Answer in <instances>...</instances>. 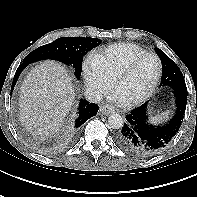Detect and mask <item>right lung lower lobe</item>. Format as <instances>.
<instances>
[{
    "instance_id": "98d812e1",
    "label": "right lung lower lobe",
    "mask_w": 197,
    "mask_h": 197,
    "mask_svg": "<svg viewBox=\"0 0 197 197\" xmlns=\"http://www.w3.org/2000/svg\"><path fill=\"white\" fill-rule=\"evenodd\" d=\"M28 65V63L23 62L17 69L11 87V92L16 84V81L22 72V70ZM98 105L94 103H89L86 100H80L79 108H78V117L76 118L74 124L72 125V131H76L84 122H86L89 118L95 116L98 112Z\"/></svg>"
}]
</instances>
